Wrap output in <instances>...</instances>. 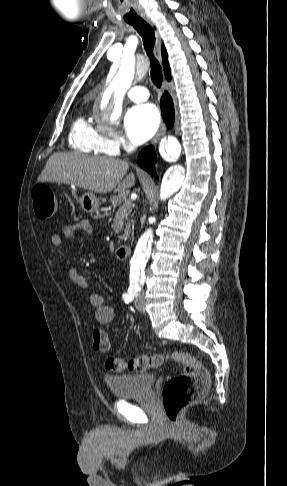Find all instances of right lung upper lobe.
<instances>
[{"mask_svg":"<svg viewBox=\"0 0 287 486\" xmlns=\"http://www.w3.org/2000/svg\"><path fill=\"white\" fill-rule=\"evenodd\" d=\"M162 59H163V67H164L165 76L168 80H170L171 71H170V67H169V64H168V60H167V52H166L164 46H162Z\"/></svg>","mask_w":287,"mask_h":486,"instance_id":"1","label":"right lung upper lobe"}]
</instances>
